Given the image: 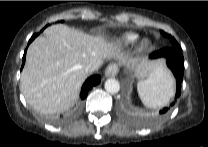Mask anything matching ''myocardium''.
<instances>
[{"label":"myocardium","instance_id":"f54148a6","mask_svg":"<svg viewBox=\"0 0 208 147\" xmlns=\"http://www.w3.org/2000/svg\"><path fill=\"white\" fill-rule=\"evenodd\" d=\"M150 45H151V43L148 39H142L138 43V51L144 52L150 48Z\"/></svg>","mask_w":208,"mask_h":147}]
</instances>
